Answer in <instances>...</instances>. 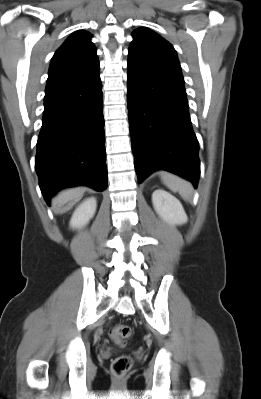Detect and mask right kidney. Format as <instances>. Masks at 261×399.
I'll return each mask as SVG.
<instances>
[{"instance_id":"right-kidney-1","label":"right kidney","mask_w":261,"mask_h":399,"mask_svg":"<svg viewBox=\"0 0 261 399\" xmlns=\"http://www.w3.org/2000/svg\"><path fill=\"white\" fill-rule=\"evenodd\" d=\"M97 202L94 197L88 198L83 201L75 209L70 220V226L73 229L85 226L96 212Z\"/></svg>"}]
</instances>
